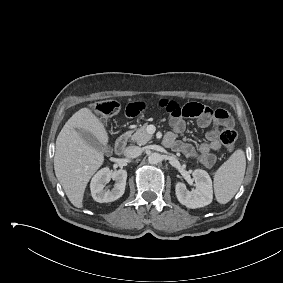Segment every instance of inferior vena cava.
<instances>
[{
	"label": "inferior vena cava",
	"mask_w": 283,
	"mask_h": 283,
	"mask_svg": "<svg viewBox=\"0 0 283 283\" xmlns=\"http://www.w3.org/2000/svg\"><path fill=\"white\" fill-rule=\"evenodd\" d=\"M142 153V149L138 146H129L124 151V156L127 158H137Z\"/></svg>",
	"instance_id": "602c4592"
}]
</instances>
